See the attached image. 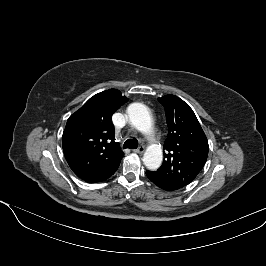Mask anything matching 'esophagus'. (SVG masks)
<instances>
[{
    "label": "esophagus",
    "instance_id": "1",
    "mask_svg": "<svg viewBox=\"0 0 266 266\" xmlns=\"http://www.w3.org/2000/svg\"><path fill=\"white\" fill-rule=\"evenodd\" d=\"M144 151H145L144 146H140L138 149L134 150L135 153H139V154L144 153Z\"/></svg>",
    "mask_w": 266,
    "mask_h": 266
}]
</instances>
